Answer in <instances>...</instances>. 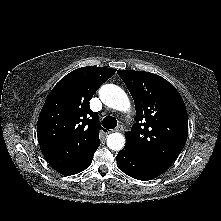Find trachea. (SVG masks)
<instances>
[{
  "label": "trachea",
  "instance_id": "trachea-1",
  "mask_svg": "<svg viewBox=\"0 0 221 221\" xmlns=\"http://www.w3.org/2000/svg\"><path fill=\"white\" fill-rule=\"evenodd\" d=\"M103 127L106 129H114L117 126V120L115 117L106 116L102 121Z\"/></svg>",
  "mask_w": 221,
  "mask_h": 221
}]
</instances>
